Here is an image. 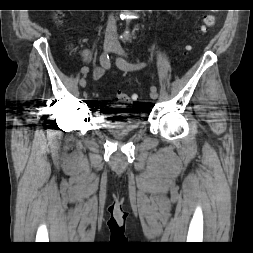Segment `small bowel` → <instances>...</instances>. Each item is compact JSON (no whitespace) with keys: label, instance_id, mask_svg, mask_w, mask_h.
Returning <instances> with one entry per match:
<instances>
[{"label":"small bowel","instance_id":"obj_1","mask_svg":"<svg viewBox=\"0 0 253 253\" xmlns=\"http://www.w3.org/2000/svg\"><path fill=\"white\" fill-rule=\"evenodd\" d=\"M105 71H106V68H104V67H102V66H101V67L95 68V69L93 70V72H92V78H93L94 80L100 79V78L104 75ZM82 72H83V73H87V72H88V69H87V68H84V69L82 70Z\"/></svg>","mask_w":253,"mask_h":253}]
</instances>
